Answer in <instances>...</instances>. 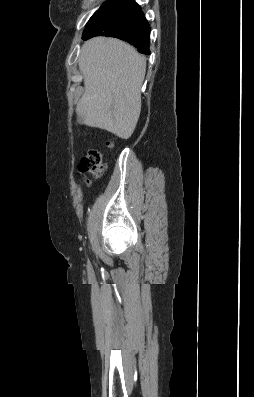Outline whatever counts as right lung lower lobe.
<instances>
[{
    "label": "right lung lower lobe",
    "mask_w": 254,
    "mask_h": 397,
    "mask_svg": "<svg viewBox=\"0 0 254 397\" xmlns=\"http://www.w3.org/2000/svg\"><path fill=\"white\" fill-rule=\"evenodd\" d=\"M94 36L116 37L129 42L140 53L150 54V26L133 0H107L87 23L82 39Z\"/></svg>",
    "instance_id": "right-lung-lower-lobe-1"
}]
</instances>
